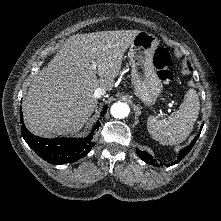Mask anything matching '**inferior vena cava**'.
I'll list each match as a JSON object with an SVG mask.
<instances>
[{"label":"inferior vena cava","instance_id":"602c4592","mask_svg":"<svg viewBox=\"0 0 221 221\" xmlns=\"http://www.w3.org/2000/svg\"><path fill=\"white\" fill-rule=\"evenodd\" d=\"M106 94V90L104 88L98 87L95 91H94V97L95 98H100L101 96Z\"/></svg>","mask_w":221,"mask_h":221}]
</instances>
